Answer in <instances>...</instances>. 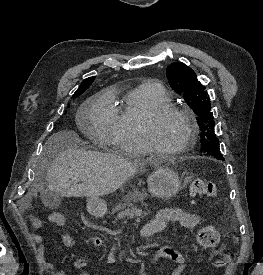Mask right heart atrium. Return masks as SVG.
Listing matches in <instances>:
<instances>
[{
	"label": "right heart atrium",
	"instance_id": "right-heart-atrium-1",
	"mask_svg": "<svg viewBox=\"0 0 263 275\" xmlns=\"http://www.w3.org/2000/svg\"><path fill=\"white\" fill-rule=\"evenodd\" d=\"M112 116L111 96L107 94L99 96L91 106L90 118L98 138L105 143L113 142Z\"/></svg>",
	"mask_w": 263,
	"mask_h": 275
}]
</instances>
